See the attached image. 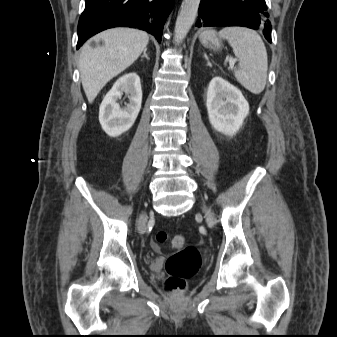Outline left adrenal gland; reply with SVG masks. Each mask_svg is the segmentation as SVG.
<instances>
[{"label": "left adrenal gland", "mask_w": 337, "mask_h": 337, "mask_svg": "<svg viewBox=\"0 0 337 337\" xmlns=\"http://www.w3.org/2000/svg\"><path fill=\"white\" fill-rule=\"evenodd\" d=\"M204 57H205V59L207 60V62H208V64H209V60H208V57H207L206 54H204Z\"/></svg>", "instance_id": "obj_1"}]
</instances>
